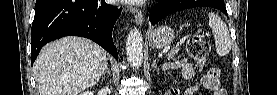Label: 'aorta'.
<instances>
[{
  "label": "aorta",
  "mask_w": 277,
  "mask_h": 95,
  "mask_svg": "<svg viewBox=\"0 0 277 95\" xmlns=\"http://www.w3.org/2000/svg\"><path fill=\"white\" fill-rule=\"evenodd\" d=\"M126 55L129 63L138 68L143 61V39L138 28H133L126 41Z\"/></svg>",
  "instance_id": "obj_1"
}]
</instances>
